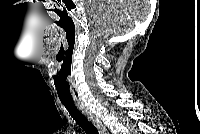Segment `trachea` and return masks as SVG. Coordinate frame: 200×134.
Here are the masks:
<instances>
[{
  "mask_svg": "<svg viewBox=\"0 0 200 134\" xmlns=\"http://www.w3.org/2000/svg\"><path fill=\"white\" fill-rule=\"evenodd\" d=\"M75 122L85 131L86 134H98L96 127L76 107L73 101H61Z\"/></svg>",
  "mask_w": 200,
  "mask_h": 134,
  "instance_id": "trachea-1",
  "label": "trachea"
}]
</instances>
